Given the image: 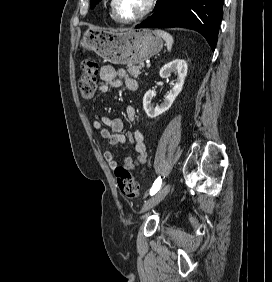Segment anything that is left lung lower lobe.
I'll return each mask as SVG.
<instances>
[{
	"instance_id": "left-lung-lower-lobe-1",
	"label": "left lung lower lobe",
	"mask_w": 272,
	"mask_h": 282,
	"mask_svg": "<svg viewBox=\"0 0 272 282\" xmlns=\"http://www.w3.org/2000/svg\"><path fill=\"white\" fill-rule=\"evenodd\" d=\"M224 0H157L155 12L136 28L184 27L201 33L215 49Z\"/></svg>"
}]
</instances>
